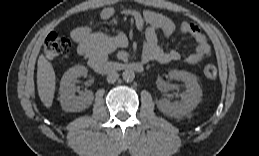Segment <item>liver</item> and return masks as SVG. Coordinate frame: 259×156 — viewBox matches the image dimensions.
<instances>
[{
	"label": "liver",
	"mask_w": 259,
	"mask_h": 156,
	"mask_svg": "<svg viewBox=\"0 0 259 156\" xmlns=\"http://www.w3.org/2000/svg\"><path fill=\"white\" fill-rule=\"evenodd\" d=\"M56 77L52 64L40 55L37 64L38 95L45 107L50 108L55 93Z\"/></svg>",
	"instance_id": "liver-1"
}]
</instances>
